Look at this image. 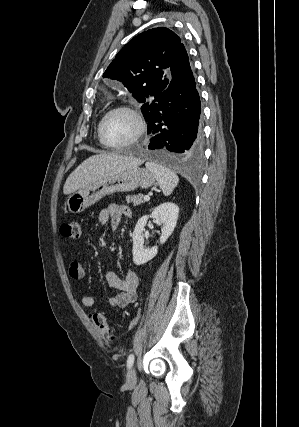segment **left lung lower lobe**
<instances>
[{
    "instance_id": "left-lung-lower-lobe-1",
    "label": "left lung lower lobe",
    "mask_w": 299,
    "mask_h": 427,
    "mask_svg": "<svg viewBox=\"0 0 299 427\" xmlns=\"http://www.w3.org/2000/svg\"><path fill=\"white\" fill-rule=\"evenodd\" d=\"M170 81L145 118L152 134L148 149L160 161L197 158L202 153L201 102L182 43L170 66Z\"/></svg>"
}]
</instances>
